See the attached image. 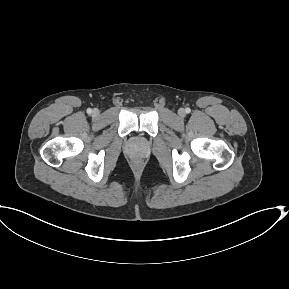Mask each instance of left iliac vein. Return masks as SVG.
Instances as JSON below:
<instances>
[{
	"label": "left iliac vein",
	"mask_w": 289,
	"mask_h": 289,
	"mask_svg": "<svg viewBox=\"0 0 289 289\" xmlns=\"http://www.w3.org/2000/svg\"><path fill=\"white\" fill-rule=\"evenodd\" d=\"M178 114L180 117H184L185 116V110L183 108L179 109Z\"/></svg>",
	"instance_id": "1"
}]
</instances>
